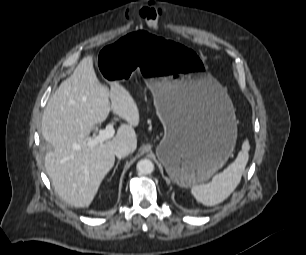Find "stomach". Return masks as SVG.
Wrapping results in <instances>:
<instances>
[{
  "label": "stomach",
  "instance_id": "obj_1",
  "mask_svg": "<svg viewBox=\"0 0 306 255\" xmlns=\"http://www.w3.org/2000/svg\"><path fill=\"white\" fill-rule=\"evenodd\" d=\"M97 65L109 82L142 72L165 131L157 156L178 186L206 182L224 165L236 142L235 109L195 51L132 31L101 52Z\"/></svg>",
  "mask_w": 306,
  "mask_h": 255
}]
</instances>
